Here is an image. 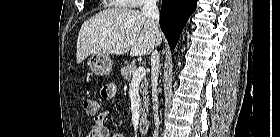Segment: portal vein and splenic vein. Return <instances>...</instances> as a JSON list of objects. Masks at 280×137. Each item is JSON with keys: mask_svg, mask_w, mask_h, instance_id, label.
Listing matches in <instances>:
<instances>
[{"mask_svg": "<svg viewBox=\"0 0 280 137\" xmlns=\"http://www.w3.org/2000/svg\"><path fill=\"white\" fill-rule=\"evenodd\" d=\"M145 68L140 66L138 67L135 72L133 73L132 76V81L131 83L139 82L145 77Z\"/></svg>", "mask_w": 280, "mask_h": 137, "instance_id": "obj_1", "label": "portal vein and splenic vein"}]
</instances>
